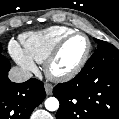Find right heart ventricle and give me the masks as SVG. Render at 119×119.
Wrapping results in <instances>:
<instances>
[{
  "instance_id": "1",
  "label": "right heart ventricle",
  "mask_w": 119,
  "mask_h": 119,
  "mask_svg": "<svg viewBox=\"0 0 119 119\" xmlns=\"http://www.w3.org/2000/svg\"><path fill=\"white\" fill-rule=\"evenodd\" d=\"M74 30L67 26H51L21 36L26 53L36 62L43 63L61 38Z\"/></svg>"
}]
</instances>
